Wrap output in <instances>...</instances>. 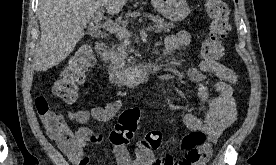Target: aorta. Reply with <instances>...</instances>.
Returning <instances> with one entry per match:
<instances>
[{"mask_svg":"<svg viewBox=\"0 0 276 165\" xmlns=\"http://www.w3.org/2000/svg\"><path fill=\"white\" fill-rule=\"evenodd\" d=\"M132 76H134V69L132 70V73H131Z\"/></svg>","mask_w":276,"mask_h":165,"instance_id":"obj_1","label":"aorta"}]
</instances>
